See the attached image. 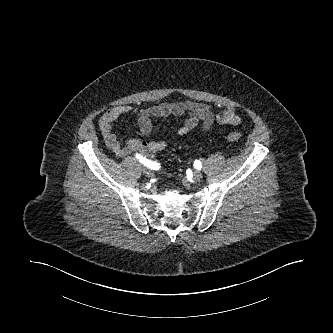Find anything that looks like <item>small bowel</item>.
I'll use <instances>...</instances> for the list:
<instances>
[{
  "label": "small bowel",
  "mask_w": 333,
  "mask_h": 333,
  "mask_svg": "<svg viewBox=\"0 0 333 333\" xmlns=\"http://www.w3.org/2000/svg\"><path fill=\"white\" fill-rule=\"evenodd\" d=\"M133 116L138 124L142 136L147 137L152 131L153 119L175 115L184 117L182 124L176 133L186 135L195 128L207 131L215 120L237 125L240 118L231 110L215 115L205 104L193 101L162 102L160 104L139 108L131 105H119L105 111L99 119V129L108 148L119 158L128 157L132 154H140L152 157L165 150L169 142L165 140H144L131 138L121 141L114 133V124L124 115Z\"/></svg>",
  "instance_id": "c3829d8e"
}]
</instances>
